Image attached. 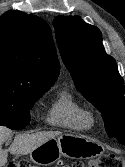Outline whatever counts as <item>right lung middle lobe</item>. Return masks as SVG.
Returning <instances> with one entry per match:
<instances>
[{
  "label": "right lung middle lobe",
  "mask_w": 125,
  "mask_h": 167,
  "mask_svg": "<svg viewBox=\"0 0 125 167\" xmlns=\"http://www.w3.org/2000/svg\"><path fill=\"white\" fill-rule=\"evenodd\" d=\"M47 90L24 93L0 89V125L24 129L30 122L29 110Z\"/></svg>",
  "instance_id": "dd1d6c3e"
}]
</instances>
